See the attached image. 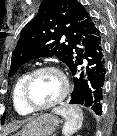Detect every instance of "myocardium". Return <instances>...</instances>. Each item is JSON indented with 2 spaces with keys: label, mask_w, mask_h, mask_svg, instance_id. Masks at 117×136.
Here are the masks:
<instances>
[{
  "label": "myocardium",
  "mask_w": 117,
  "mask_h": 136,
  "mask_svg": "<svg viewBox=\"0 0 117 136\" xmlns=\"http://www.w3.org/2000/svg\"><path fill=\"white\" fill-rule=\"evenodd\" d=\"M43 72H53L57 74L62 81L63 89H62L61 94L51 103L44 105V106H35L30 99V88H31V84L34 78ZM69 89L70 87H69L68 78L60 69L53 67V66H42V67H39L33 70L31 73H29L28 77L25 80L24 86H23L22 98H23L24 104L30 111L42 112V111H47L55 107L56 105L60 104L68 95Z\"/></svg>",
  "instance_id": "myocardium-1"
}]
</instances>
